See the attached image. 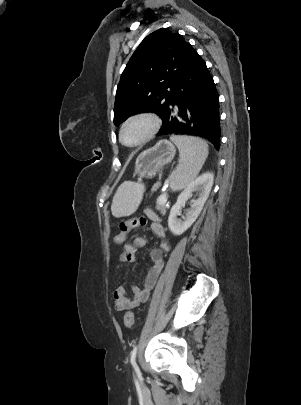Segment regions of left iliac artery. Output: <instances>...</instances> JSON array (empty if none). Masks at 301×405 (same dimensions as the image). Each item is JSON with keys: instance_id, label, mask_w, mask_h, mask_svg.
Returning a JSON list of instances; mask_svg holds the SVG:
<instances>
[{"instance_id": "44dca946", "label": "left iliac artery", "mask_w": 301, "mask_h": 405, "mask_svg": "<svg viewBox=\"0 0 301 405\" xmlns=\"http://www.w3.org/2000/svg\"><path fill=\"white\" fill-rule=\"evenodd\" d=\"M136 353H137V346H134L133 350L131 351V358H130V362L132 364V366L137 369V365H136Z\"/></svg>"}]
</instances>
